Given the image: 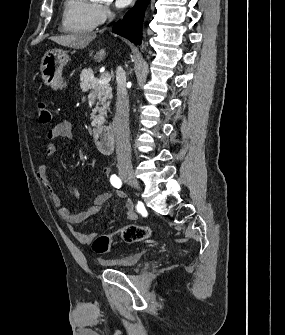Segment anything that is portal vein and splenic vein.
Returning a JSON list of instances; mask_svg holds the SVG:
<instances>
[{
	"mask_svg": "<svg viewBox=\"0 0 285 335\" xmlns=\"http://www.w3.org/2000/svg\"><path fill=\"white\" fill-rule=\"evenodd\" d=\"M110 80H111L110 74H103L100 80H97V84H109Z\"/></svg>",
	"mask_w": 285,
	"mask_h": 335,
	"instance_id": "18ae733b",
	"label": "portal vein and splenic vein"
}]
</instances>
